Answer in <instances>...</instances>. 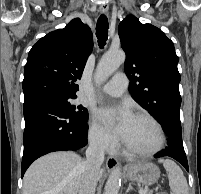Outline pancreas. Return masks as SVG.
<instances>
[{"mask_svg":"<svg viewBox=\"0 0 201 194\" xmlns=\"http://www.w3.org/2000/svg\"><path fill=\"white\" fill-rule=\"evenodd\" d=\"M146 194H153V191H148L147 190Z\"/></svg>","mask_w":201,"mask_h":194,"instance_id":"cf45deb5","label":"pancreas"}]
</instances>
